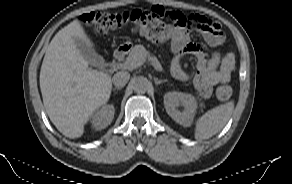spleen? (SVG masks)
<instances>
[{
    "instance_id": "1",
    "label": "spleen",
    "mask_w": 292,
    "mask_h": 184,
    "mask_svg": "<svg viewBox=\"0 0 292 184\" xmlns=\"http://www.w3.org/2000/svg\"><path fill=\"white\" fill-rule=\"evenodd\" d=\"M234 110V102L221 104L199 117L195 123L194 137L205 140L218 133L228 122Z\"/></svg>"
}]
</instances>
